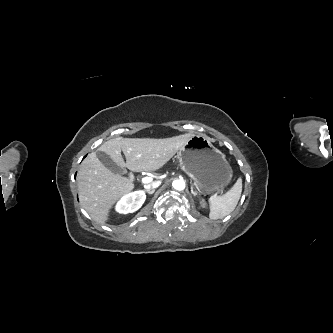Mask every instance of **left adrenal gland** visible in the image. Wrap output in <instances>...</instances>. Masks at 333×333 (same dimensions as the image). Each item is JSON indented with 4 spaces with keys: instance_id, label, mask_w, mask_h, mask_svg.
I'll return each mask as SVG.
<instances>
[{
    "instance_id": "1",
    "label": "left adrenal gland",
    "mask_w": 333,
    "mask_h": 333,
    "mask_svg": "<svg viewBox=\"0 0 333 333\" xmlns=\"http://www.w3.org/2000/svg\"><path fill=\"white\" fill-rule=\"evenodd\" d=\"M191 193L193 194V195H196L197 193L193 190V186H191Z\"/></svg>"
}]
</instances>
